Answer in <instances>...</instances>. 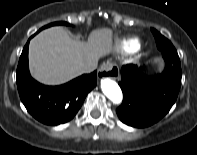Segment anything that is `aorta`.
<instances>
[{
  "mask_svg": "<svg viewBox=\"0 0 197 155\" xmlns=\"http://www.w3.org/2000/svg\"><path fill=\"white\" fill-rule=\"evenodd\" d=\"M101 89L105 96L109 98L112 102H114L115 104L121 103L123 99L122 91L115 81L109 78L102 79Z\"/></svg>",
  "mask_w": 197,
  "mask_h": 155,
  "instance_id": "aorta-1",
  "label": "aorta"
}]
</instances>
